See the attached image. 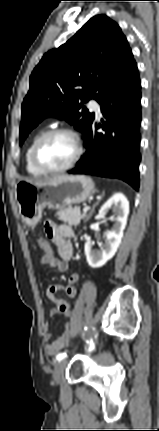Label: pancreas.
Listing matches in <instances>:
<instances>
[{"mask_svg":"<svg viewBox=\"0 0 159 431\" xmlns=\"http://www.w3.org/2000/svg\"><path fill=\"white\" fill-rule=\"evenodd\" d=\"M56 216L59 220L71 225V226H77L80 224V221L85 219L87 217V213L83 212L81 213L80 207H72L68 206L67 208L60 209Z\"/></svg>","mask_w":159,"mask_h":431,"instance_id":"cf45deb5","label":"pancreas"}]
</instances>
